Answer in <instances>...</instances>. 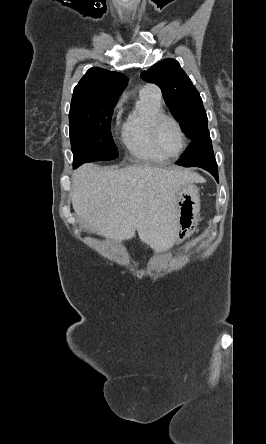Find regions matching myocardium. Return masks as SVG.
<instances>
[{
	"mask_svg": "<svg viewBox=\"0 0 266 444\" xmlns=\"http://www.w3.org/2000/svg\"><path fill=\"white\" fill-rule=\"evenodd\" d=\"M164 121H171L177 128L180 138H181V146L179 151L174 154V155H168L166 154L160 147L159 142H158V131H159V127L160 125L164 122ZM150 135H151V140H152V144L154 146V148L163 156H179L181 155L186 147H187V138L185 135V132L180 124V122L173 116L162 113L158 116H156L151 123V127H150Z\"/></svg>",
	"mask_w": 266,
	"mask_h": 444,
	"instance_id": "myocardium-1",
	"label": "myocardium"
}]
</instances>
